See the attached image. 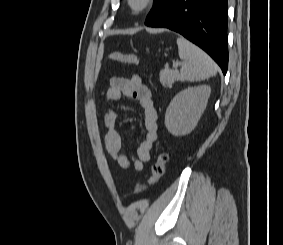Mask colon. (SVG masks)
Listing matches in <instances>:
<instances>
[{
	"instance_id": "5ec220e1",
	"label": "colon",
	"mask_w": 283,
	"mask_h": 245,
	"mask_svg": "<svg viewBox=\"0 0 283 245\" xmlns=\"http://www.w3.org/2000/svg\"><path fill=\"white\" fill-rule=\"evenodd\" d=\"M109 58L119 63H125L129 65H137L138 59L134 54L126 53L121 50H114L110 53ZM168 162V155L166 152H160L154 161L152 166V173L149 178L148 184H136L133 190L127 194L128 198L140 195L147 189L157 185L160 178L164 175L166 165Z\"/></svg>"
}]
</instances>
